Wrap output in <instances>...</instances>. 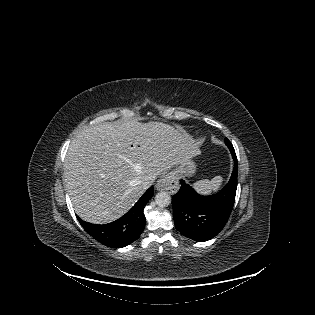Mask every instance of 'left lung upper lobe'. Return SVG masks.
<instances>
[{
	"instance_id": "5c2ea615",
	"label": "left lung upper lobe",
	"mask_w": 315,
	"mask_h": 315,
	"mask_svg": "<svg viewBox=\"0 0 315 315\" xmlns=\"http://www.w3.org/2000/svg\"><path fill=\"white\" fill-rule=\"evenodd\" d=\"M226 145L229 147V149L233 150V145L231 144V142L229 140H227L226 142Z\"/></svg>"
}]
</instances>
